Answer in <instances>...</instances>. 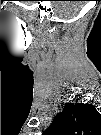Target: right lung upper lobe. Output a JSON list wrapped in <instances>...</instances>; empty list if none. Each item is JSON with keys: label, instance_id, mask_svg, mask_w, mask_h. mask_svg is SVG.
I'll return each mask as SVG.
<instances>
[{"label": "right lung upper lobe", "instance_id": "right-lung-upper-lobe-1", "mask_svg": "<svg viewBox=\"0 0 101 135\" xmlns=\"http://www.w3.org/2000/svg\"><path fill=\"white\" fill-rule=\"evenodd\" d=\"M98 122L99 113L92 105L69 103L47 130L60 129L67 135H98Z\"/></svg>", "mask_w": 101, "mask_h": 135}]
</instances>
